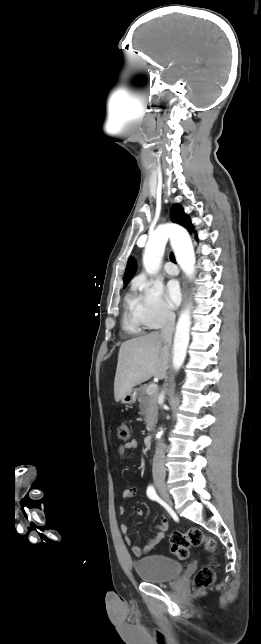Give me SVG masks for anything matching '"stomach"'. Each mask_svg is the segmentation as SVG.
<instances>
[{
    "mask_svg": "<svg viewBox=\"0 0 261 644\" xmlns=\"http://www.w3.org/2000/svg\"><path fill=\"white\" fill-rule=\"evenodd\" d=\"M137 396L138 390H131L122 397L121 402L127 405L134 404L136 402Z\"/></svg>",
    "mask_w": 261,
    "mask_h": 644,
    "instance_id": "1",
    "label": "stomach"
}]
</instances>
